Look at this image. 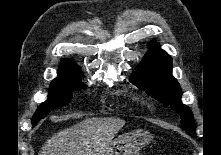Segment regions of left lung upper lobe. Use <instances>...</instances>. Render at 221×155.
I'll return each instance as SVG.
<instances>
[{
	"mask_svg": "<svg viewBox=\"0 0 221 155\" xmlns=\"http://www.w3.org/2000/svg\"><path fill=\"white\" fill-rule=\"evenodd\" d=\"M171 57L154 45L144 56L138 70L130 81L141 89H146L149 95L158 99L165 106L170 105L181 115L182 124L190 131L194 129V118L190 108L181 101V88L172 76Z\"/></svg>",
	"mask_w": 221,
	"mask_h": 155,
	"instance_id": "1",
	"label": "left lung upper lobe"
}]
</instances>
